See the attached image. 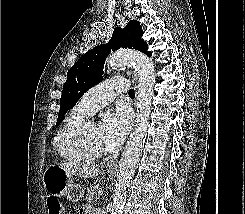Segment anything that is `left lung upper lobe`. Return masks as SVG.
Wrapping results in <instances>:
<instances>
[{
    "mask_svg": "<svg viewBox=\"0 0 245 214\" xmlns=\"http://www.w3.org/2000/svg\"><path fill=\"white\" fill-rule=\"evenodd\" d=\"M142 35L143 30L139 22L130 20L124 29L121 27L114 29L112 38L107 44L89 50L71 67L63 86L57 124L87 90L103 80L104 63L111 50L133 48L151 56L147 43L142 40Z\"/></svg>",
    "mask_w": 245,
    "mask_h": 214,
    "instance_id": "1",
    "label": "left lung upper lobe"
}]
</instances>
